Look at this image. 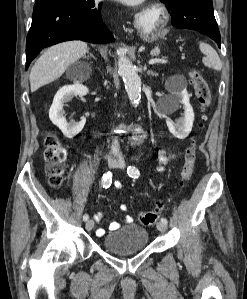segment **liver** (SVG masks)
<instances>
[{
  "instance_id": "obj_1",
  "label": "liver",
  "mask_w": 247,
  "mask_h": 299,
  "mask_svg": "<svg viewBox=\"0 0 247 299\" xmlns=\"http://www.w3.org/2000/svg\"><path fill=\"white\" fill-rule=\"evenodd\" d=\"M87 50V43L82 41H66L48 48L31 69V92L58 79L71 64L84 57Z\"/></svg>"
}]
</instances>
